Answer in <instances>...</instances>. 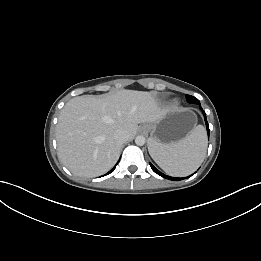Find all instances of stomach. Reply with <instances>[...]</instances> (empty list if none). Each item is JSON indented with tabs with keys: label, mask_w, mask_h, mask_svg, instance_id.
<instances>
[{
	"label": "stomach",
	"mask_w": 261,
	"mask_h": 261,
	"mask_svg": "<svg viewBox=\"0 0 261 261\" xmlns=\"http://www.w3.org/2000/svg\"><path fill=\"white\" fill-rule=\"evenodd\" d=\"M197 116L189 109H171L156 122L144 124L141 130L150 133L153 142L175 143L187 136L196 126Z\"/></svg>",
	"instance_id": "stomach-1"
}]
</instances>
